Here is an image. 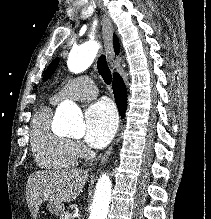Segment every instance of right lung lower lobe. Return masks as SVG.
<instances>
[{
  "mask_svg": "<svg viewBox=\"0 0 211 219\" xmlns=\"http://www.w3.org/2000/svg\"><path fill=\"white\" fill-rule=\"evenodd\" d=\"M113 91L115 96V101L119 110L121 117L125 115V110L127 107V90L123 82V79L119 74L114 73L113 75Z\"/></svg>",
  "mask_w": 211,
  "mask_h": 219,
  "instance_id": "98d812e1",
  "label": "right lung lower lobe"
}]
</instances>
